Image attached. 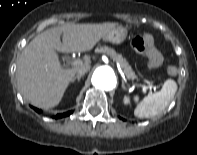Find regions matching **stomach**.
<instances>
[{
  "label": "stomach",
  "mask_w": 197,
  "mask_h": 155,
  "mask_svg": "<svg viewBox=\"0 0 197 155\" xmlns=\"http://www.w3.org/2000/svg\"><path fill=\"white\" fill-rule=\"evenodd\" d=\"M127 34L128 29L126 27L116 26L104 35L103 40L119 44L126 39Z\"/></svg>",
  "instance_id": "0dacf381"
}]
</instances>
